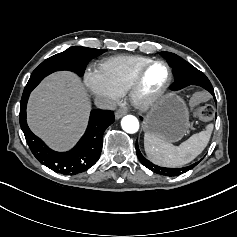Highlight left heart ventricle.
Here are the masks:
<instances>
[{
  "mask_svg": "<svg viewBox=\"0 0 237 237\" xmlns=\"http://www.w3.org/2000/svg\"><path fill=\"white\" fill-rule=\"evenodd\" d=\"M166 76L163 65L156 64L150 67L144 78V92L151 93L157 90L164 83Z\"/></svg>",
  "mask_w": 237,
  "mask_h": 237,
  "instance_id": "left-heart-ventricle-1",
  "label": "left heart ventricle"
}]
</instances>
